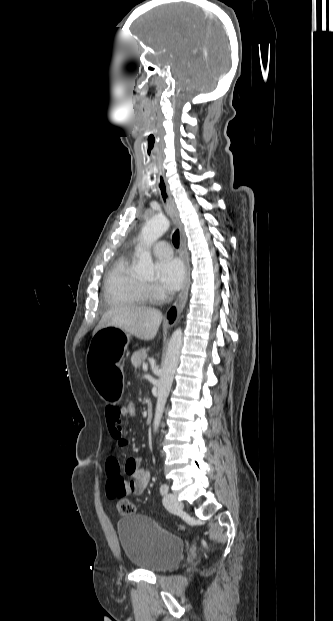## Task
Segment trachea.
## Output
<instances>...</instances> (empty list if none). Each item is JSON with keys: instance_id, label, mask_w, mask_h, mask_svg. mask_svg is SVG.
I'll use <instances>...</instances> for the list:
<instances>
[{"instance_id": "1", "label": "trachea", "mask_w": 333, "mask_h": 621, "mask_svg": "<svg viewBox=\"0 0 333 621\" xmlns=\"http://www.w3.org/2000/svg\"><path fill=\"white\" fill-rule=\"evenodd\" d=\"M172 242L176 248H179V230H176L172 236Z\"/></svg>"}]
</instances>
